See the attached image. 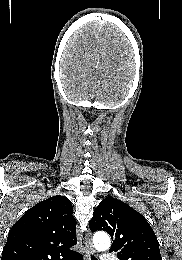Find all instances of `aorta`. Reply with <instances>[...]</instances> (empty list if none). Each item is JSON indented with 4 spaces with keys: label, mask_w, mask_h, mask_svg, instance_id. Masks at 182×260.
Instances as JSON below:
<instances>
[{
    "label": "aorta",
    "mask_w": 182,
    "mask_h": 260,
    "mask_svg": "<svg viewBox=\"0 0 182 260\" xmlns=\"http://www.w3.org/2000/svg\"><path fill=\"white\" fill-rule=\"evenodd\" d=\"M93 243L97 250H107L110 247V237L105 232L96 233L93 237Z\"/></svg>",
    "instance_id": "aorta-1"
}]
</instances>
